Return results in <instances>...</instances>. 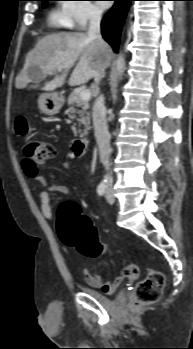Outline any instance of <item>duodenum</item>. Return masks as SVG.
Wrapping results in <instances>:
<instances>
[{"label": "duodenum", "mask_w": 193, "mask_h": 349, "mask_svg": "<svg viewBox=\"0 0 193 349\" xmlns=\"http://www.w3.org/2000/svg\"><path fill=\"white\" fill-rule=\"evenodd\" d=\"M88 146H89V141L87 139L79 138L72 141L71 151L75 156L81 157L86 154Z\"/></svg>", "instance_id": "duodenum-1"}]
</instances>
